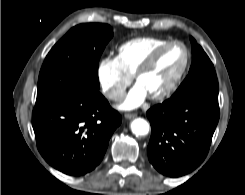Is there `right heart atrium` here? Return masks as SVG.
I'll list each match as a JSON object with an SVG mask.
<instances>
[{
  "label": "right heart atrium",
  "mask_w": 245,
  "mask_h": 195,
  "mask_svg": "<svg viewBox=\"0 0 245 195\" xmlns=\"http://www.w3.org/2000/svg\"><path fill=\"white\" fill-rule=\"evenodd\" d=\"M96 76L103 94L112 101H120L132 76L128 75L115 57H105L99 60Z\"/></svg>",
  "instance_id": "1"
}]
</instances>
